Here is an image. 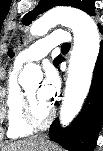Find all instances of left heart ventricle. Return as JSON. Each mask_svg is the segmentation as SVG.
<instances>
[{
    "label": "left heart ventricle",
    "mask_w": 103,
    "mask_h": 151,
    "mask_svg": "<svg viewBox=\"0 0 103 151\" xmlns=\"http://www.w3.org/2000/svg\"><path fill=\"white\" fill-rule=\"evenodd\" d=\"M39 83H33L26 87V91L32 103L33 113L37 120H44L50 110V105L43 103L39 98Z\"/></svg>",
    "instance_id": "left-heart-ventricle-1"
}]
</instances>
